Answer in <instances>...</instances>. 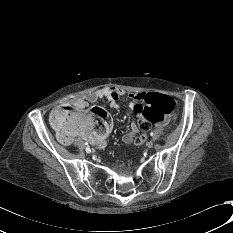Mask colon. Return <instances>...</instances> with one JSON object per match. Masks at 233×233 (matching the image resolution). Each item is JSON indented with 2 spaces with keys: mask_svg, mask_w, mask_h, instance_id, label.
Listing matches in <instances>:
<instances>
[{
  "mask_svg": "<svg viewBox=\"0 0 233 233\" xmlns=\"http://www.w3.org/2000/svg\"><path fill=\"white\" fill-rule=\"evenodd\" d=\"M135 108L140 112L141 117L138 121V127L142 134L136 139L141 144L146 139V132L153 125L164 124L172 118L174 110V100L168 96L159 93H139L134 100ZM73 109L69 105L59 107L58 113L51 116V122L56 131L65 132L68 128L66 120ZM61 115H66L62 117ZM98 119L100 125L96 123ZM112 121L110 114L103 108H94L91 111H85L78 114L74 119V125L84 129L87 133L94 134L102 131L103 124Z\"/></svg>",
  "mask_w": 233,
  "mask_h": 233,
  "instance_id": "colon-1",
  "label": "colon"
}]
</instances>
